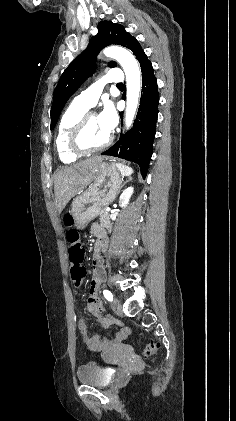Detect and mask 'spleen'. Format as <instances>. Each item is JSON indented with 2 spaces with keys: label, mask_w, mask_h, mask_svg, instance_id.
<instances>
[{
  "label": "spleen",
  "mask_w": 236,
  "mask_h": 421,
  "mask_svg": "<svg viewBox=\"0 0 236 421\" xmlns=\"http://www.w3.org/2000/svg\"><path fill=\"white\" fill-rule=\"evenodd\" d=\"M117 166L121 174H123V176H129V174H132V172H134L131 166H127V164H122V162H117Z\"/></svg>",
  "instance_id": "3e777b00"
}]
</instances>
